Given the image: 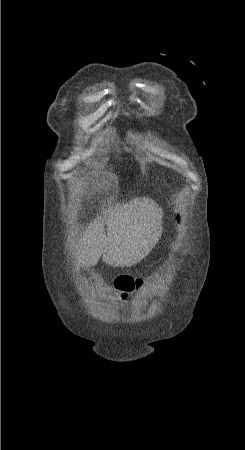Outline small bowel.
<instances>
[{"label": "small bowel", "mask_w": 245, "mask_h": 450, "mask_svg": "<svg viewBox=\"0 0 245 450\" xmlns=\"http://www.w3.org/2000/svg\"><path fill=\"white\" fill-rule=\"evenodd\" d=\"M123 277H128V276H123ZM155 281V278H152L151 280H150V283L152 282H154ZM112 294L115 296V297H118V300L119 301H126V300H128L130 297H131V293L129 292V291H127V290H123V291H121V290H113L112 291Z\"/></svg>", "instance_id": "small-bowel-1"}]
</instances>
